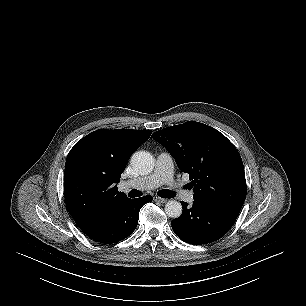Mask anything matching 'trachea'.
I'll return each mask as SVG.
<instances>
[{
	"instance_id": "3493384b",
	"label": "trachea",
	"mask_w": 306,
	"mask_h": 306,
	"mask_svg": "<svg viewBox=\"0 0 306 306\" xmlns=\"http://www.w3.org/2000/svg\"><path fill=\"white\" fill-rule=\"evenodd\" d=\"M128 195H129V197L133 198V197L142 196V193L139 190L134 189V190H131ZM158 195L162 198H173V197H175V193L171 190H168V189L159 190Z\"/></svg>"
}]
</instances>
